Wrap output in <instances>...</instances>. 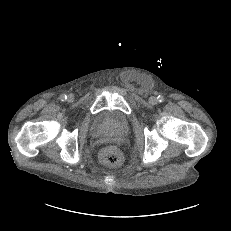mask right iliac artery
<instances>
[{"mask_svg": "<svg viewBox=\"0 0 231 231\" xmlns=\"http://www.w3.org/2000/svg\"><path fill=\"white\" fill-rule=\"evenodd\" d=\"M61 101H65L67 99V96L65 94L60 95Z\"/></svg>", "mask_w": 231, "mask_h": 231, "instance_id": "1", "label": "right iliac artery"}]
</instances>
